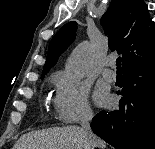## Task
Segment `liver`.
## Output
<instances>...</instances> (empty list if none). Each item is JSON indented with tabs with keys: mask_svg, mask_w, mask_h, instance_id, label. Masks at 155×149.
<instances>
[{
	"mask_svg": "<svg viewBox=\"0 0 155 149\" xmlns=\"http://www.w3.org/2000/svg\"><path fill=\"white\" fill-rule=\"evenodd\" d=\"M96 139L99 149H104L106 143L98 137ZM13 149H89V143L82 128L67 126L24 134L15 143Z\"/></svg>",
	"mask_w": 155,
	"mask_h": 149,
	"instance_id": "6515ba94",
	"label": "liver"
}]
</instances>
